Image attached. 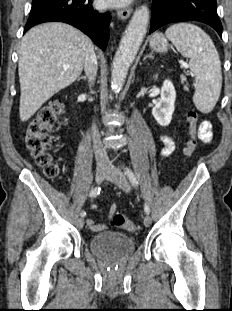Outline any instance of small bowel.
<instances>
[{
	"label": "small bowel",
	"instance_id": "c3829d8e",
	"mask_svg": "<svg viewBox=\"0 0 232 311\" xmlns=\"http://www.w3.org/2000/svg\"><path fill=\"white\" fill-rule=\"evenodd\" d=\"M211 129H212V124L209 121L202 122L200 129H199V137L203 142L209 143L212 140ZM158 138L164 145L161 150V155L162 156L170 155L175 149L174 139L170 135L164 134V133L159 134ZM115 208H116V205H112L111 211H114ZM87 225L90 227L91 231L93 232L103 231L107 228L105 224H97L95 223L93 219H88Z\"/></svg>",
	"mask_w": 232,
	"mask_h": 311
}]
</instances>
